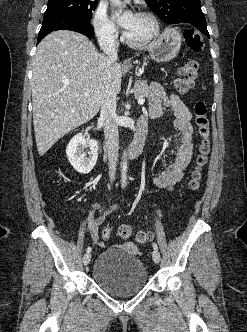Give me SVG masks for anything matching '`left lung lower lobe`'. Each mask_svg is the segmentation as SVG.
Wrapping results in <instances>:
<instances>
[{"label": "left lung lower lobe", "instance_id": "obj_1", "mask_svg": "<svg viewBox=\"0 0 247 332\" xmlns=\"http://www.w3.org/2000/svg\"><path fill=\"white\" fill-rule=\"evenodd\" d=\"M195 28L197 30H199L201 33H203L206 37L210 38L207 27H206V22L197 23Z\"/></svg>", "mask_w": 247, "mask_h": 332}]
</instances>
